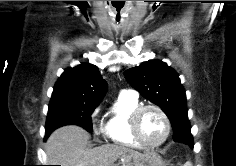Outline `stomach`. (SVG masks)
<instances>
[{"mask_svg":"<svg viewBox=\"0 0 236 166\" xmlns=\"http://www.w3.org/2000/svg\"><path fill=\"white\" fill-rule=\"evenodd\" d=\"M123 166H165L162 158L155 152L146 153L139 165L123 163Z\"/></svg>","mask_w":236,"mask_h":166,"instance_id":"1","label":"stomach"}]
</instances>
